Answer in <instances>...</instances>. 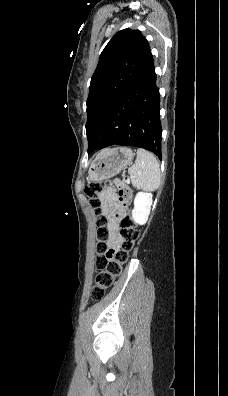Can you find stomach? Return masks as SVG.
I'll return each instance as SVG.
<instances>
[{
	"mask_svg": "<svg viewBox=\"0 0 228 396\" xmlns=\"http://www.w3.org/2000/svg\"><path fill=\"white\" fill-rule=\"evenodd\" d=\"M134 153L130 148L118 147L101 152L89 168V179L97 182L106 180L130 166Z\"/></svg>",
	"mask_w": 228,
	"mask_h": 396,
	"instance_id": "0dacf381",
	"label": "stomach"
}]
</instances>
